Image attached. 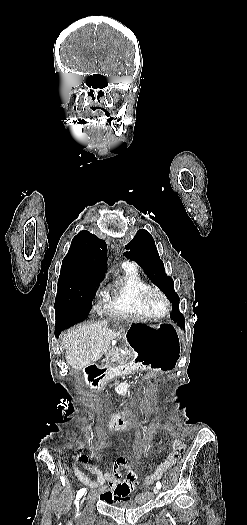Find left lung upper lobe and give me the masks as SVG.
Instances as JSON below:
<instances>
[{
    "label": "left lung upper lobe",
    "mask_w": 247,
    "mask_h": 525,
    "mask_svg": "<svg viewBox=\"0 0 247 525\" xmlns=\"http://www.w3.org/2000/svg\"><path fill=\"white\" fill-rule=\"evenodd\" d=\"M128 250L124 256L134 260L144 269L149 278L156 284L172 302V319L178 324H185L183 315L179 312V297L174 291V282L167 276L163 261L160 259L155 242L151 234L140 229L133 240L125 246Z\"/></svg>",
    "instance_id": "left-lung-upper-lobe-1"
}]
</instances>
